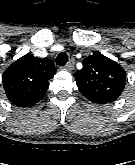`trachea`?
<instances>
[{
  "label": "trachea",
  "instance_id": "obj_1",
  "mask_svg": "<svg viewBox=\"0 0 135 165\" xmlns=\"http://www.w3.org/2000/svg\"><path fill=\"white\" fill-rule=\"evenodd\" d=\"M68 61V55L65 52H61L56 57V64L60 66H64Z\"/></svg>",
  "mask_w": 135,
  "mask_h": 165
}]
</instances>
